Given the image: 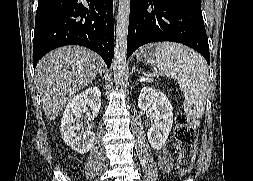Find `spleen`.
Here are the masks:
<instances>
[{
	"label": "spleen",
	"mask_w": 253,
	"mask_h": 181,
	"mask_svg": "<svg viewBox=\"0 0 253 181\" xmlns=\"http://www.w3.org/2000/svg\"><path fill=\"white\" fill-rule=\"evenodd\" d=\"M156 61V73L177 79L185 97L183 106L187 117H202L209 86V70L205 59L182 44L162 42L156 45Z\"/></svg>",
	"instance_id": "1"
}]
</instances>
